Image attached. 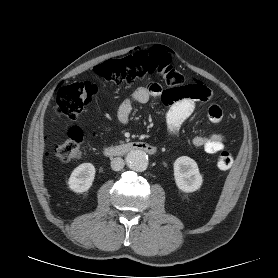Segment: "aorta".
<instances>
[{
    "label": "aorta",
    "mask_w": 278,
    "mask_h": 278,
    "mask_svg": "<svg viewBox=\"0 0 278 278\" xmlns=\"http://www.w3.org/2000/svg\"><path fill=\"white\" fill-rule=\"evenodd\" d=\"M126 162L130 169L143 172L148 167V156L142 150H133L127 154Z\"/></svg>",
    "instance_id": "762f6f07"
}]
</instances>
